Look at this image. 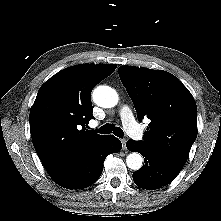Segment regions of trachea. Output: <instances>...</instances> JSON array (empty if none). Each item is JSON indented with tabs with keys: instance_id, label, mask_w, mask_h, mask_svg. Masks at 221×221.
<instances>
[{
	"instance_id": "trachea-1",
	"label": "trachea",
	"mask_w": 221,
	"mask_h": 221,
	"mask_svg": "<svg viewBox=\"0 0 221 221\" xmlns=\"http://www.w3.org/2000/svg\"><path fill=\"white\" fill-rule=\"evenodd\" d=\"M98 133H102V134L113 133L119 138H122L124 136L123 130L120 127H114V125H111L109 123L100 127L98 129Z\"/></svg>"
}]
</instances>
